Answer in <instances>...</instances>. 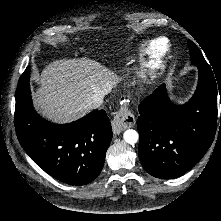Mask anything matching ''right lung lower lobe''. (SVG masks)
<instances>
[{"label": "right lung lower lobe", "mask_w": 221, "mask_h": 221, "mask_svg": "<svg viewBox=\"0 0 221 221\" xmlns=\"http://www.w3.org/2000/svg\"><path fill=\"white\" fill-rule=\"evenodd\" d=\"M28 66L16 90L15 127L18 140L31 159L55 179L85 185L100 174L112 139L104 110H94L69 124L58 125L34 110Z\"/></svg>", "instance_id": "1"}]
</instances>
